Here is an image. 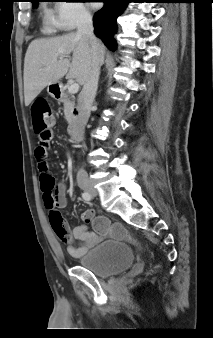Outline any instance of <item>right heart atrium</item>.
Masks as SVG:
<instances>
[{
  "mask_svg": "<svg viewBox=\"0 0 213 338\" xmlns=\"http://www.w3.org/2000/svg\"><path fill=\"white\" fill-rule=\"evenodd\" d=\"M61 29L71 30L90 21V13L79 1H62L55 6V14L48 18Z\"/></svg>",
  "mask_w": 213,
  "mask_h": 338,
  "instance_id": "1",
  "label": "right heart atrium"
}]
</instances>
